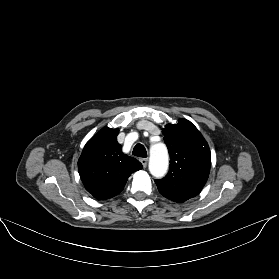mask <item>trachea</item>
<instances>
[{
	"mask_svg": "<svg viewBox=\"0 0 279 279\" xmlns=\"http://www.w3.org/2000/svg\"><path fill=\"white\" fill-rule=\"evenodd\" d=\"M132 154L134 156H137V157H143V158L147 157L146 149H145V147L142 144L135 145V147H134V149L132 151Z\"/></svg>",
	"mask_w": 279,
	"mask_h": 279,
	"instance_id": "1",
	"label": "trachea"
}]
</instances>
